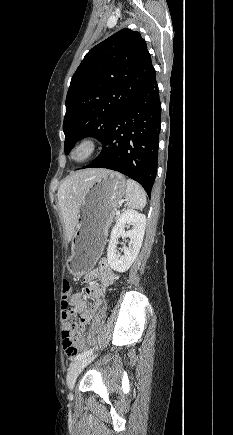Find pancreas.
Instances as JSON below:
<instances>
[{"mask_svg":"<svg viewBox=\"0 0 233 435\" xmlns=\"http://www.w3.org/2000/svg\"><path fill=\"white\" fill-rule=\"evenodd\" d=\"M118 217H119V216H118V215H116V217H115V220H117V219H118Z\"/></svg>","mask_w":233,"mask_h":435,"instance_id":"pancreas-1","label":"pancreas"}]
</instances>
